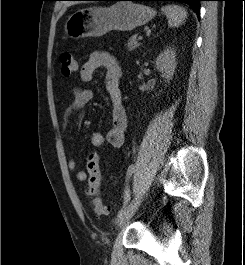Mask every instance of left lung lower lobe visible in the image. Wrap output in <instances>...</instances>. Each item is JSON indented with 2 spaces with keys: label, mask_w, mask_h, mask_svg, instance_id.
<instances>
[{
  "label": "left lung lower lobe",
  "mask_w": 245,
  "mask_h": 265,
  "mask_svg": "<svg viewBox=\"0 0 245 265\" xmlns=\"http://www.w3.org/2000/svg\"><path fill=\"white\" fill-rule=\"evenodd\" d=\"M94 1H121V0H94ZM123 1H179L187 3L200 16V1L203 0H123Z\"/></svg>",
  "instance_id": "0a47b994"
}]
</instances>
